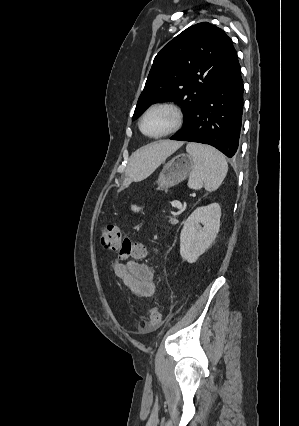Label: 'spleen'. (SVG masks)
<instances>
[{
  "label": "spleen",
  "instance_id": "spleen-1",
  "mask_svg": "<svg viewBox=\"0 0 299 426\" xmlns=\"http://www.w3.org/2000/svg\"><path fill=\"white\" fill-rule=\"evenodd\" d=\"M186 151L194 160V170L189 176L188 186L192 189L204 187L208 191L216 190L223 182L228 171L226 158L213 147L189 143ZM135 212L140 210L133 205Z\"/></svg>",
  "mask_w": 299,
  "mask_h": 426
}]
</instances>
